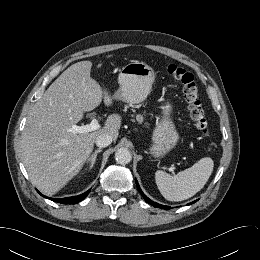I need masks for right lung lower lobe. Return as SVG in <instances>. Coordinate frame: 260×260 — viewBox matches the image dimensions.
Wrapping results in <instances>:
<instances>
[{
  "mask_svg": "<svg viewBox=\"0 0 260 260\" xmlns=\"http://www.w3.org/2000/svg\"><path fill=\"white\" fill-rule=\"evenodd\" d=\"M89 192H90V190L86 191L85 193H83L81 195L74 196V197H67V198H61V199L49 198V199L52 201L58 202V203H63V204H76V203L82 201L89 194ZM44 197H46V196H44Z\"/></svg>",
  "mask_w": 260,
  "mask_h": 260,
  "instance_id": "obj_1",
  "label": "right lung lower lobe"
}]
</instances>
